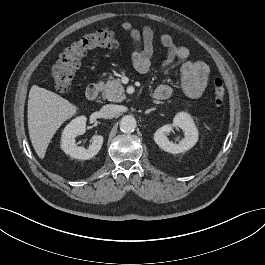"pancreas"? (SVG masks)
I'll list each match as a JSON object with an SVG mask.
<instances>
[{
    "instance_id": "pancreas-1",
    "label": "pancreas",
    "mask_w": 265,
    "mask_h": 265,
    "mask_svg": "<svg viewBox=\"0 0 265 265\" xmlns=\"http://www.w3.org/2000/svg\"><path fill=\"white\" fill-rule=\"evenodd\" d=\"M102 87V97L112 102H122L126 96L124 94V87L121 84L120 79L108 80L105 84L100 82Z\"/></svg>"
}]
</instances>
